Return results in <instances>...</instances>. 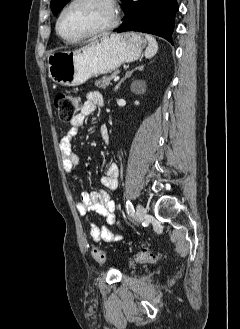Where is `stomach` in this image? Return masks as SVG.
Masks as SVG:
<instances>
[{
    "label": "stomach",
    "mask_w": 240,
    "mask_h": 329,
    "mask_svg": "<svg viewBox=\"0 0 240 329\" xmlns=\"http://www.w3.org/2000/svg\"><path fill=\"white\" fill-rule=\"evenodd\" d=\"M145 44V39L137 33L102 35L83 49L50 55L49 76L58 84L78 86L116 70L123 63L138 60Z\"/></svg>",
    "instance_id": "0dacf381"
}]
</instances>
